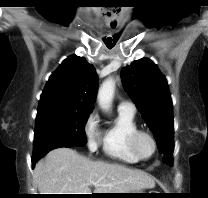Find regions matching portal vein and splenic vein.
Segmentation results:
<instances>
[{
    "mask_svg": "<svg viewBox=\"0 0 208 198\" xmlns=\"http://www.w3.org/2000/svg\"><path fill=\"white\" fill-rule=\"evenodd\" d=\"M90 184H95V182L91 181Z\"/></svg>",
    "mask_w": 208,
    "mask_h": 198,
    "instance_id": "1",
    "label": "portal vein and splenic vein"
}]
</instances>
